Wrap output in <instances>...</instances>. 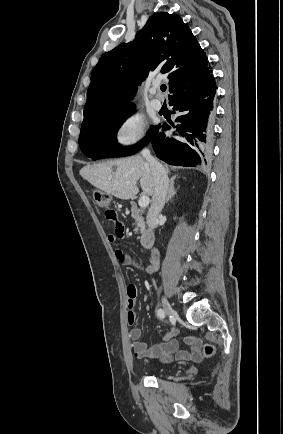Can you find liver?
<instances>
[{
    "instance_id": "6515ba94",
    "label": "liver",
    "mask_w": 283,
    "mask_h": 434,
    "mask_svg": "<svg viewBox=\"0 0 283 434\" xmlns=\"http://www.w3.org/2000/svg\"><path fill=\"white\" fill-rule=\"evenodd\" d=\"M165 170L169 172L168 168ZM79 173L94 187L122 200L133 198L139 192V180L145 195L154 194L155 184L150 165L140 155L86 165Z\"/></svg>"
}]
</instances>
